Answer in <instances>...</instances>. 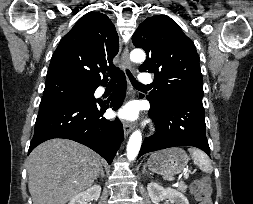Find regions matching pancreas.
Masks as SVG:
<instances>
[{"label": "pancreas", "mask_w": 253, "mask_h": 204, "mask_svg": "<svg viewBox=\"0 0 253 204\" xmlns=\"http://www.w3.org/2000/svg\"><path fill=\"white\" fill-rule=\"evenodd\" d=\"M178 189H179L181 192H185L186 189H187V185H185V184H180L179 187H178Z\"/></svg>", "instance_id": "pancreas-1"}]
</instances>
